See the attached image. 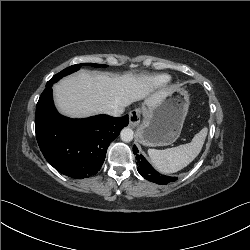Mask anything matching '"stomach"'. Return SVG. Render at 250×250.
I'll return each mask as SVG.
<instances>
[{"instance_id": "obj_1", "label": "stomach", "mask_w": 250, "mask_h": 250, "mask_svg": "<svg viewBox=\"0 0 250 250\" xmlns=\"http://www.w3.org/2000/svg\"><path fill=\"white\" fill-rule=\"evenodd\" d=\"M185 89L175 88L160 103L145 111L144 120L137 129V139L145 146H166L181 134L189 108Z\"/></svg>"}]
</instances>
